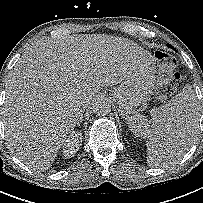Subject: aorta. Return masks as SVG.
<instances>
[{"mask_svg":"<svg viewBox=\"0 0 203 203\" xmlns=\"http://www.w3.org/2000/svg\"><path fill=\"white\" fill-rule=\"evenodd\" d=\"M93 111L98 116H105L111 111V104L106 99L97 100L93 104Z\"/></svg>","mask_w":203,"mask_h":203,"instance_id":"762f6f07","label":"aorta"}]
</instances>
